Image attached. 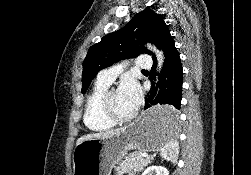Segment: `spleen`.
I'll use <instances>...</instances> for the list:
<instances>
[{
  "instance_id": "spleen-1",
  "label": "spleen",
  "mask_w": 251,
  "mask_h": 175,
  "mask_svg": "<svg viewBox=\"0 0 251 175\" xmlns=\"http://www.w3.org/2000/svg\"><path fill=\"white\" fill-rule=\"evenodd\" d=\"M171 119H175L176 129L174 133V137H168L167 141H165L164 145L161 147V155L164 159H168V161H172V163H177L178 159V145L175 143V137H177V133L179 131L178 127V119L177 113L173 111Z\"/></svg>"
}]
</instances>
